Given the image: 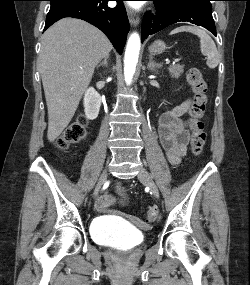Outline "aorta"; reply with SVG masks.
<instances>
[{"label":"aorta","mask_w":250,"mask_h":285,"mask_svg":"<svg viewBox=\"0 0 250 285\" xmlns=\"http://www.w3.org/2000/svg\"><path fill=\"white\" fill-rule=\"evenodd\" d=\"M141 41L138 33H132L128 39L124 56V76L129 85L132 82L133 75L138 63Z\"/></svg>","instance_id":"762f6f07"}]
</instances>
